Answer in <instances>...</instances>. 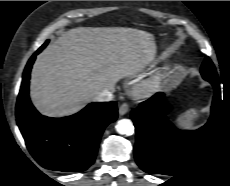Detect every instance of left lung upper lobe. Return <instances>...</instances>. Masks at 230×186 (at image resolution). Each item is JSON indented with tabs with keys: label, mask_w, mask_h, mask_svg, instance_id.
I'll return each mask as SVG.
<instances>
[{
	"label": "left lung upper lobe",
	"mask_w": 230,
	"mask_h": 186,
	"mask_svg": "<svg viewBox=\"0 0 230 186\" xmlns=\"http://www.w3.org/2000/svg\"><path fill=\"white\" fill-rule=\"evenodd\" d=\"M201 74L205 80H218V76L215 70V67L209 57H206L202 66H201Z\"/></svg>",
	"instance_id": "5c2ea615"
}]
</instances>
